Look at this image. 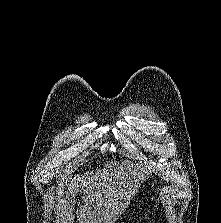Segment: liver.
Masks as SVG:
<instances>
[{"label": "liver", "instance_id": "6515ba94", "mask_svg": "<svg viewBox=\"0 0 221 223\" xmlns=\"http://www.w3.org/2000/svg\"><path fill=\"white\" fill-rule=\"evenodd\" d=\"M141 178L129 163H108L102 170L76 175L66 197L58 200L55 223H74L75 195L81 192L85 202L76 211L79 223H114L140 186Z\"/></svg>", "mask_w": 221, "mask_h": 223}]
</instances>
